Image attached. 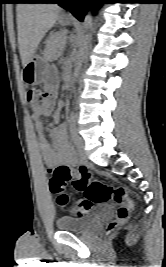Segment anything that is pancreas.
I'll list each match as a JSON object with an SVG mask.
<instances>
[{"label": "pancreas", "instance_id": "cf45deb5", "mask_svg": "<svg viewBox=\"0 0 166 267\" xmlns=\"http://www.w3.org/2000/svg\"><path fill=\"white\" fill-rule=\"evenodd\" d=\"M65 36L62 33H55L51 35L46 44V49L44 50V58L48 61L56 59L64 47Z\"/></svg>", "mask_w": 166, "mask_h": 267}]
</instances>
